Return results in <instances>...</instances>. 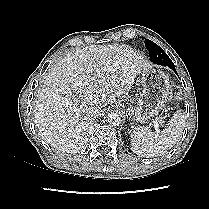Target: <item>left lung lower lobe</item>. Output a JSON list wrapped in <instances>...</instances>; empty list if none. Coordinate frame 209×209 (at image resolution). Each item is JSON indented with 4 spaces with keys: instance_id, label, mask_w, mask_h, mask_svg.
Here are the masks:
<instances>
[{
    "instance_id": "left-lung-lower-lobe-1",
    "label": "left lung lower lobe",
    "mask_w": 209,
    "mask_h": 209,
    "mask_svg": "<svg viewBox=\"0 0 209 209\" xmlns=\"http://www.w3.org/2000/svg\"><path fill=\"white\" fill-rule=\"evenodd\" d=\"M175 73H176V70H175V68L174 69H172ZM177 74V73H176Z\"/></svg>"
}]
</instances>
